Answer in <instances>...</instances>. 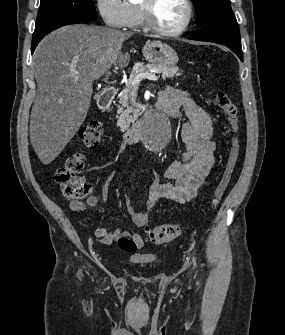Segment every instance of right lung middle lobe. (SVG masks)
I'll list each match as a JSON object with an SVG mask.
<instances>
[{
  "mask_svg": "<svg viewBox=\"0 0 285 335\" xmlns=\"http://www.w3.org/2000/svg\"><path fill=\"white\" fill-rule=\"evenodd\" d=\"M75 15L97 19L92 0H41L36 25L59 16Z\"/></svg>",
  "mask_w": 285,
  "mask_h": 335,
  "instance_id": "right-lung-middle-lobe-1",
  "label": "right lung middle lobe"
}]
</instances>
